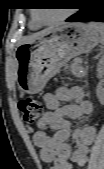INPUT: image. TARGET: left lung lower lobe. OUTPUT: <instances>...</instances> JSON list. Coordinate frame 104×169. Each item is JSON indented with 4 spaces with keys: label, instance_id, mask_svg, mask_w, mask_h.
Here are the masks:
<instances>
[{
    "label": "left lung lower lobe",
    "instance_id": "0a47b994",
    "mask_svg": "<svg viewBox=\"0 0 104 169\" xmlns=\"http://www.w3.org/2000/svg\"><path fill=\"white\" fill-rule=\"evenodd\" d=\"M80 11L67 19V22H104V5L99 0H82Z\"/></svg>",
    "mask_w": 104,
    "mask_h": 169
}]
</instances>
